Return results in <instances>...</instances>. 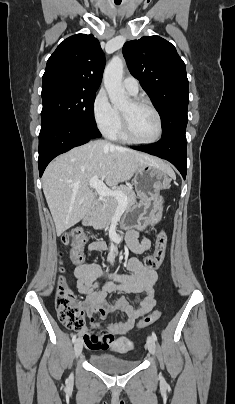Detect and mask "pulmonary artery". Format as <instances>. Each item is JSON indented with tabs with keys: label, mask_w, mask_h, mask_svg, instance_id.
I'll list each match as a JSON object with an SVG mask.
<instances>
[{
	"label": "pulmonary artery",
	"mask_w": 235,
	"mask_h": 404,
	"mask_svg": "<svg viewBox=\"0 0 235 404\" xmlns=\"http://www.w3.org/2000/svg\"><path fill=\"white\" fill-rule=\"evenodd\" d=\"M122 84L124 89L131 95H136L139 91V83L132 76L125 77L122 81Z\"/></svg>",
	"instance_id": "pulmonary-artery-1"
}]
</instances>
